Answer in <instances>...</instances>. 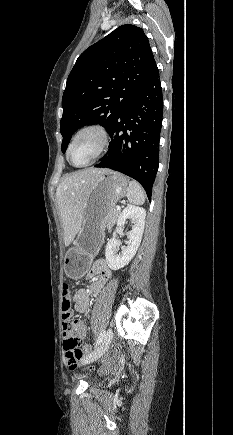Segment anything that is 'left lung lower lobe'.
<instances>
[{
    "label": "left lung lower lobe",
    "instance_id": "1",
    "mask_svg": "<svg viewBox=\"0 0 233 435\" xmlns=\"http://www.w3.org/2000/svg\"><path fill=\"white\" fill-rule=\"evenodd\" d=\"M163 115L162 88L156 66L151 77L114 121L104 160L95 167L119 171L137 180L151 200L158 169Z\"/></svg>",
    "mask_w": 233,
    "mask_h": 435
}]
</instances>
